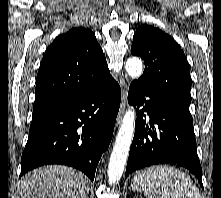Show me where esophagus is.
Masks as SVG:
<instances>
[{
  "mask_svg": "<svg viewBox=\"0 0 221 198\" xmlns=\"http://www.w3.org/2000/svg\"><path fill=\"white\" fill-rule=\"evenodd\" d=\"M126 95H127V92H126V90H124L123 91V95H122V103H121L120 111H119L118 117H117L116 126H118L121 123L122 116H123V114L125 112V99H126Z\"/></svg>",
  "mask_w": 221,
  "mask_h": 198,
  "instance_id": "34e87169",
  "label": "esophagus"
}]
</instances>
